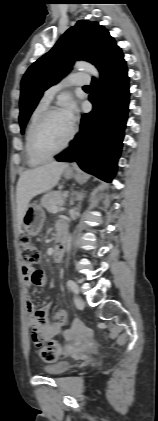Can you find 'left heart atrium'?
I'll use <instances>...</instances> for the list:
<instances>
[{"label":"left heart atrium","instance_id":"left-heart-atrium-1","mask_svg":"<svg viewBox=\"0 0 158 421\" xmlns=\"http://www.w3.org/2000/svg\"><path fill=\"white\" fill-rule=\"evenodd\" d=\"M62 114L64 115L69 125L73 127L76 121V107L72 101H68L65 104L64 108L62 109Z\"/></svg>","mask_w":158,"mask_h":421}]
</instances>
